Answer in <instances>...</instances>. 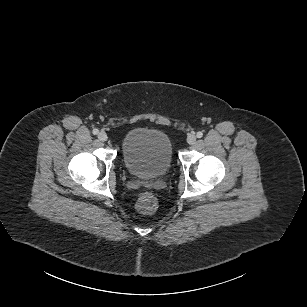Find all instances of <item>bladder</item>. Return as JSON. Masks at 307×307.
I'll return each mask as SVG.
<instances>
[{
    "label": "bladder",
    "instance_id": "bladder-1",
    "mask_svg": "<svg viewBox=\"0 0 307 307\" xmlns=\"http://www.w3.org/2000/svg\"><path fill=\"white\" fill-rule=\"evenodd\" d=\"M121 149L126 170L138 178L161 177L172 162V142L161 130L135 128L124 137Z\"/></svg>",
    "mask_w": 307,
    "mask_h": 307
}]
</instances>
